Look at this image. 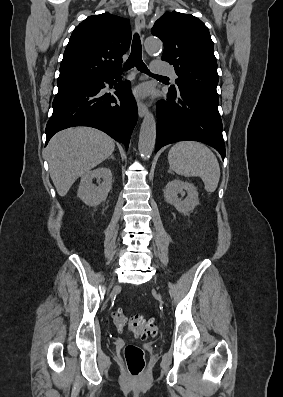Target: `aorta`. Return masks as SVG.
I'll list each match as a JSON object with an SVG mask.
<instances>
[{"label": "aorta", "instance_id": "1", "mask_svg": "<svg viewBox=\"0 0 283 397\" xmlns=\"http://www.w3.org/2000/svg\"><path fill=\"white\" fill-rule=\"evenodd\" d=\"M145 49L153 54L162 50V42L154 37H149L145 41ZM156 140V122L153 114L147 113L142 121L139 135L138 149L141 156L147 159L151 156Z\"/></svg>", "mask_w": 283, "mask_h": 397}]
</instances>
